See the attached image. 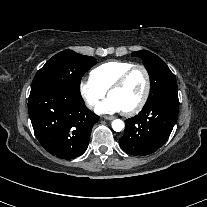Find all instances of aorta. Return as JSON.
I'll use <instances>...</instances> for the list:
<instances>
[{"mask_svg": "<svg viewBox=\"0 0 207 207\" xmlns=\"http://www.w3.org/2000/svg\"><path fill=\"white\" fill-rule=\"evenodd\" d=\"M112 128L116 132H120L124 129V122L120 119H115L112 121Z\"/></svg>", "mask_w": 207, "mask_h": 207, "instance_id": "1", "label": "aorta"}]
</instances>
